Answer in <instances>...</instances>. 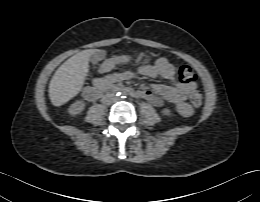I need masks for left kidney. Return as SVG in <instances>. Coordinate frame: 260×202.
<instances>
[{
	"label": "left kidney",
	"mask_w": 260,
	"mask_h": 202,
	"mask_svg": "<svg viewBox=\"0 0 260 202\" xmlns=\"http://www.w3.org/2000/svg\"><path fill=\"white\" fill-rule=\"evenodd\" d=\"M162 114H163V115H166V116H169V117L172 116L171 110L168 109V108L163 109V110H162Z\"/></svg>",
	"instance_id": "1"
}]
</instances>
